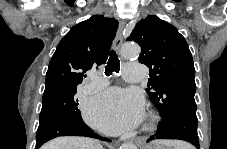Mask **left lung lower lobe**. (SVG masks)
I'll return each instance as SVG.
<instances>
[{"label": "left lung lower lobe", "mask_w": 227, "mask_h": 149, "mask_svg": "<svg viewBox=\"0 0 227 149\" xmlns=\"http://www.w3.org/2000/svg\"><path fill=\"white\" fill-rule=\"evenodd\" d=\"M197 123V117L193 115L172 113L162 116L156 133L147 142L155 139H179L190 142L199 149Z\"/></svg>", "instance_id": "left-lung-lower-lobe-1"}]
</instances>
